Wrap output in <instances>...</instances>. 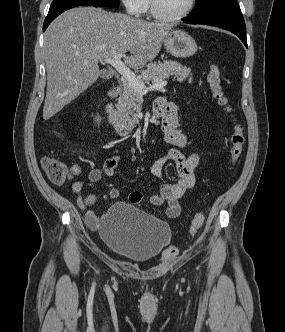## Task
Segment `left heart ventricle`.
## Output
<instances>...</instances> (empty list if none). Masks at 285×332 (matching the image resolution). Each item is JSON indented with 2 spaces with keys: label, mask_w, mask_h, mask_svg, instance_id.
I'll use <instances>...</instances> for the list:
<instances>
[{
  "label": "left heart ventricle",
  "mask_w": 285,
  "mask_h": 332,
  "mask_svg": "<svg viewBox=\"0 0 285 332\" xmlns=\"http://www.w3.org/2000/svg\"><path fill=\"white\" fill-rule=\"evenodd\" d=\"M158 9L165 15L175 16L182 13L190 0H156Z\"/></svg>",
  "instance_id": "left-heart-ventricle-1"
}]
</instances>
